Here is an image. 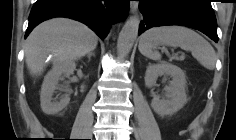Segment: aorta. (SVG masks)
Wrapping results in <instances>:
<instances>
[{
  "label": "aorta",
  "mask_w": 236,
  "mask_h": 140,
  "mask_svg": "<svg viewBox=\"0 0 236 140\" xmlns=\"http://www.w3.org/2000/svg\"><path fill=\"white\" fill-rule=\"evenodd\" d=\"M140 19L136 16L130 17L124 24L117 40V52L120 57H125L131 51L138 36Z\"/></svg>",
  "instance_id": "aorta-1"
}]
</instances>
